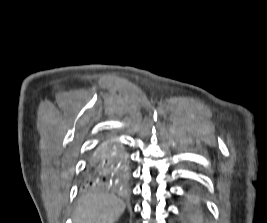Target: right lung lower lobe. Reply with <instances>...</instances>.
Segmentation results:
<instances>
[{
  "mask_svg": "<svg viewBox=\"0 0 267 223\" xmlns=\"http://www.w3.org/2000/svg\"><path fill=\"white\" fill-rule=\"evenodd\" d=\"M129 180V164L122 146L105 140L92 153L83 182L84 188H124Z\"/></svg>",
  "mask_w": 267,
  "mask_h": 223,
  "instance_id": "obj_1",
  "label": "right lung lower lobe"
}]
</instances>
